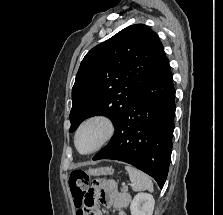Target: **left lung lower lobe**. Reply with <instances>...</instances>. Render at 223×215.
<instances>
[{
	"label": "left lung lower lobe",
	"mask_w": 223,
	"mask_h": 215,
	"mask_svg": "<svg viewBox=\"0 0 223 215\" xmlns=\"http://www.w3.org/2000/svg\"><path fill=\"white\" fill-rule=\"evenodd\" d=\"M175 89L164 60L126 109L108 145L93 160L129 163L152 176L162 188L172 152Z\"/></svg>",
	"instance_id": "left-lung-lower-lobe-1"
}]
</instances>
